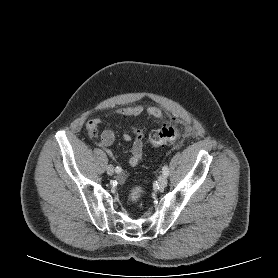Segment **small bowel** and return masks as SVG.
<instances>
[{
    "label": "small bowel",
    "mask_w": 278,
    "mask_h": 278,
    "mask_svg": "<svg viewBox=\"0 0 278 278\" xmlns=\"http://www.w3.org/2000/svg\"><path fill=\"white\" fill-rule=\"evenodd\" d=\"M144 108L142 106H132L125 107L114 110L110 112L107 117L109 119H125L128 120L133 117H138L144 113ZM146 114L150 119H158L163 117V112L161 109L157 107H149L146 110ZM101 120L99 118H95L89 121L88 128L89 130L97 127L100 124ZM131 133H125L123 135V140L125 142H132V147L130 150V156L128 162L131 166H137L142 157H143V140H144V132L141 129L131 126ZM115 140V134L111 129H106L102 132L100 138V145L105 149L107 154L114 158V154L110 149V146L113 144ZM120 180L125 179V175L121 174L119 176Z\"/></svg>",
    "instance_id": "c3829d8e"
}]
</instances>
